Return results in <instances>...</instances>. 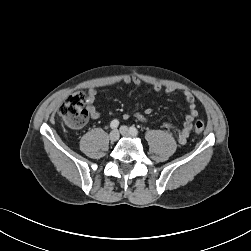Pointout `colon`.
<instances>
[{
  "mask_svg": "<svg viewBox=\"0 0 251 251\" xmlns=\"http://www.w3.org/2000/svg\"><path fill=\"white\" fill-rule=\"evenodd\" d=\"M87 96L82 91H76L70 94L60 108V116L73 128L82 127L88 119V112L85 108ZM195 132L200 134L205 130V124L201 120H197L194 124Z\"/></svg>",
  "mask_w": 251,
  "mask_h": 251,
  "instance_id": "obj_1",
  "label": "colon"
}]
</instances>
